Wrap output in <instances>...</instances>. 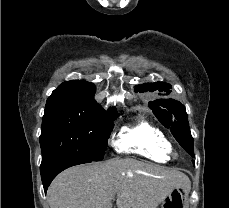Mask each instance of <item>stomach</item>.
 <instances>
[{"label": "stomach", "instance_id": "obj_1", "mask_svg": "<svg viewBox=\"0 0 229 208\" xmlns=\"http://www.w3.org/2000/svg\"><path fill=\"white\" fill-rule=\"evenodd\" d=\"M190 188H182V186H175L169 194H165L161 208H189Z\"/></svg>", "mask_w": 229, "mask_h": 208}]
</instances>
